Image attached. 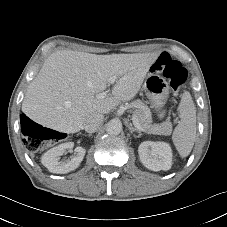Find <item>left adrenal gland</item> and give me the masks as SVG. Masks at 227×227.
Instances as JSON below:
<instances>
[{"mask_svg": "<svg viewBox=\"0 0 227 227\" xmlns=\"http://www.w3.org/2000/svg\"><path fill=\"white\" fill-rule=\"evenodd\" d=\"M127 126H128V129L130 130L131 133L137 132V133H139V135H141V132L138 129L134 128L132 126V124H128Z\"/></svg>", "mask_w": 227, "mask_h": 227, "instance_id": "a2214340", "label": "left adrenal gland"}]
</instances>
